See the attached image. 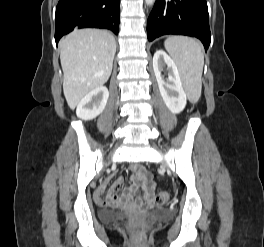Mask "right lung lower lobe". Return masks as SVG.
I'll return each mask as SVG.
<instances>
[{
  "label": "right lung lower lobe",
  "mask_w": 264,
  "mask_h": 247,
  "mask_svg": "<svg viewBox=\"0 0 264 247\" xmlns=\"http://www.w3.org/2000/svg\"><path fill=\"white\" fill-rule=\"evenodd\" d=\"M120 0H59L55 41L76 28H104L119 32Z\"/></svg>",
  "instance_id": "98d812e1"
}]
</instances>
